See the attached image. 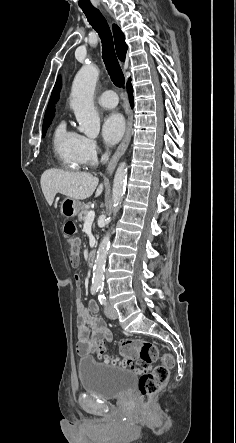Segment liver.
Returning a JSON list of instances; mask_svg holds the SVG:
<instances>
[{
	"instance_id": "obj_1",
	"label": "liver",
	"mask_w": 236,
	"mask_h": 443,
	"mask_svg": "<svg viewBox=\"0 0 236 443\" xmlns=\"http://www.w3.org/2000/svg\"><path fill=\"white\" fill-rule=\"evenodd\" d=\"M40 182L45 199L51 206L57 193L75 200L89 198L97 188L99 179L87 172L49 169L42 174ZM102 191L103 184H100L95 197L100 196Z\"/></svg>"
}]
</instances>
